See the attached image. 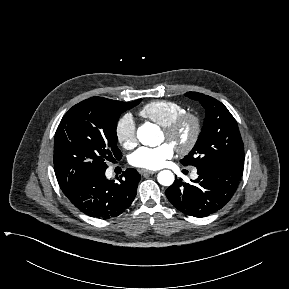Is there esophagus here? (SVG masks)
Returning <instances> with one entry per match:
<instances>
[{"label":"esophagus","instance_id":"1","mask_svg":"<svg viewBox=\"0 0 289 289\" xmlns=\"http://www.w3.org/2000/svg\"><path fill=\"white\" fill-rule=\"evenodd\" d=\"M140 174L143 176H147V175H153L156 173V171H152V170H146V169H141L139 170Z\"/></svg>","mask_w":289,"mask_h":289}]
</instances>
